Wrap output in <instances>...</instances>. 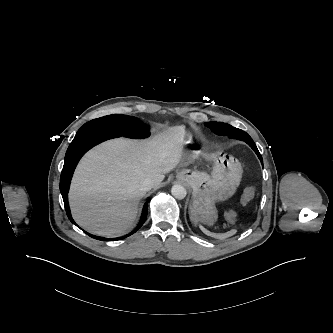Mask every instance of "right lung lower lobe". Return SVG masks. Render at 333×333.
<instances>
[{
  "label": "right lung lower lobe",
  "mask_w": 333,
  "mask_h": 333,
  "mask_svg": "<svg viewBox=\"0 0 333 333\" xmlns=\"http://www.w3.org/2000/svg\"><path fill=\"white\" fill-rule=\"evenodd\" d=\"M119 136L120 135L117 133L107 132V131H103V130H91V131H87L84 133H77L75 138L71 142L70 146L68 147L66 155H65V162H64L62 173H61V178H60V191H61L63 201L65 204L67 216L71 220L72 223L75 224V222L73 221L71 214H70L67 195H68L70 181H71L74 169H75L78 161L84 155V153L87 152L93 146H95L107 139H111V138H115V137H119ZM147 205H148V202H146L144 205V208L142 211V216H141L138 226L131 233H129L126 236L120 237V238L108 239V241L120 240V239L126 238V237L130 236L131 234L135 233L143 225V223L146 220ZM86 234H88L90 237H93L95 239L107 241L106 238L94 236L89 233H86Z\"/></svg>",
  "instance_id": "98d812e1"
}]
</instances>
